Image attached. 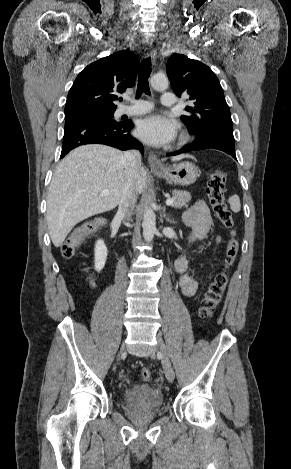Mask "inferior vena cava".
Wrapping results in <instances>:
<instances>
[{
    "mask_svg": "<svg viewBox=\"0 0 291 469\" xmlns=\"http://www.w3.org/2000/svg\"><path fill=\"white\" fill-rule=\"evenodd\" d=\"M122 161L127 176L123 185L117 216L124 220H129L132 216L138 196L134 186V180L141 166V154L136 150L126 151L123 154Z\"/></svg>",
    "mask_w": 291,
    "mask_h": 469,
    "instance_id": "1",
    "label": "inferior vena cava"
}]
</instances>
